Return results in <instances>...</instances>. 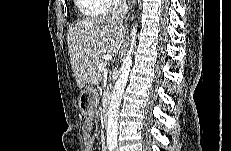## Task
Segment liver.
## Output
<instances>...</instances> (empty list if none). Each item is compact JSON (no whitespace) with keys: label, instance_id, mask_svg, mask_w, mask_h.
<instances>
[{"label":"liver","instance_id":"1","mask_svg":"<svg viewBox=\"0 0 231 151\" xmlns=\"http://www.w3.org/2000/svg\"><path fill=\"white\" fill-rule=\"evenodd\" d=\"M124 26L111 17L87 18L67 32L72 70L84 88L103 54L116 55L124 43Z\"/></svg>","mask_w":231,"mask_h":151}]
</instances>
